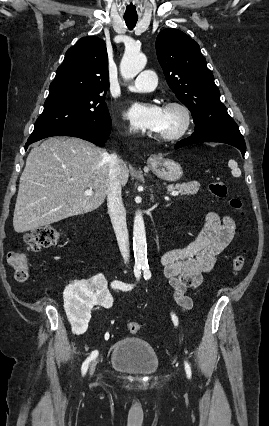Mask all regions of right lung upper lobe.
<instances>
[{
    "label": "right lung upper lobe",
    "mask_w": 269,
    "mask_h": 426,
    "mask_svg": "<svg viewBox=\"0 0 269 426\" xmlns=\"http://www.w3.org/2000/svg\"><path fill=\"white\" fill-rule=\"evenodd\" d=\"M108 88L106 44L98 37H83L67 50L49 93L62 90L106 93Z\"/></svg>",
    "instance_id": "1"
}]
</instances>
